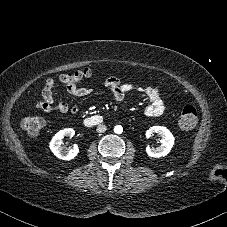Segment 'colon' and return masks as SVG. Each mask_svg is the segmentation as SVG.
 Returning a JSON list of instances; mask_svg holds the SVG:
<instances>
[{
  "instance_id": "colon-1",
  "label": "colon",
  "mask_w": 227,
  "mask_h": 227,
  "mask_svg": "<svg viewBox=\"0 0 227 227\" xmlns=\"http://www.w3.org/2000/svg\"><path fill=\"white\" fill-rule=\"evenodd\" d=\"M91 76L92 71L86 68L73 73L63 74L61 82L66 89L71 90L77 88L82 81L89 79ZM197 119L196 108L193 105H186L179 116L178 126L181 130H190L196 125ZM21 125L29 135H37L42 131L45 121L38 116H26L22 118Z\"/></svg>"
}]
</instances>
